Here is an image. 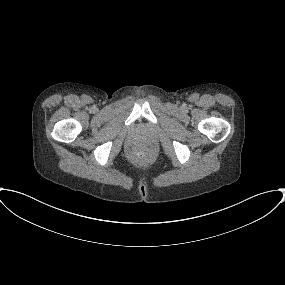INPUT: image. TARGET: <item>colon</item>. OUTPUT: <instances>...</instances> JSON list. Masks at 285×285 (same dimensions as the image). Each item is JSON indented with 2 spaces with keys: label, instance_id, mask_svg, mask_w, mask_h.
Wrapping results in <instances>:
<instances>
[{
  "label": "colon",
  "instance_id": "colon-1",
  "mask_svg": "<svg viewBox=\"0 0 285 285\" xmlns=\"http://www.w3.org/2000/svg\"><path fill=\"white\" fill-rule=\"evenodd\" d=\"M153 150L148 145H141L136 149L135 156L141 162H149L153 159Z\"/></svg>",
  "mask_w": 285,
  "mask_h": 285
}]
</instances>
